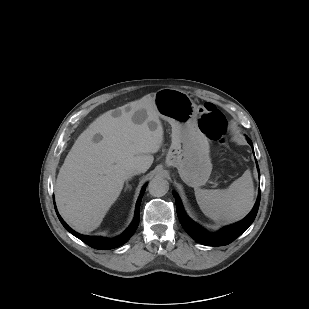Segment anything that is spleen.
I'll return each instance as SVG.
<instances>
[{"label":"spleen","mask_w":309,"mask_h":309,"mask_svg":"<svg viewBox=\"0 0 309 309\" xmlns=\"http://www.w3.org/2000/svg\"><path fill=\"white\" fill-rule=\"evenodd\" d=\"M195 197L202 212L214 221L234 222L246 216L253 206L254 186L249 171L227 189L195 188Z\"/></svg>","instance_id":"obj_1"}]
</instances>
